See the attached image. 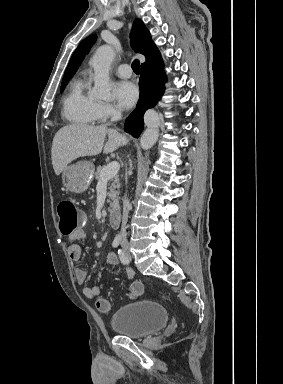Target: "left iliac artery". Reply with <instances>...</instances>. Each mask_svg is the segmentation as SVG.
<instances>
[{
	"label": "left iliac artery",
	"mask_w": 283,
	"mask_h": 384,
	"mask_svg": "<svg viewBox=\"0 0 283 384\" xmlns=\"http://www.w3.org/2000/svg\"><path fill=\"white\" fill-rule=\"evenodd\" d=\"M118 255H119L120 261L123 264H126L127 258H126L124 252L121 249L118 250Z\"/></svg>",
	"instance_id": "left-iliac-artery-1"
}]
</instances>
